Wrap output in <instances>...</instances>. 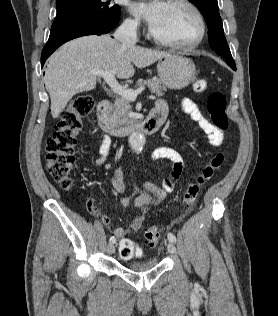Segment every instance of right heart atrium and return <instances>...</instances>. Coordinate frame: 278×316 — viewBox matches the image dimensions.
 <instances>
[{
	"label": "right heart atrium",
	"mask_w": 278,
	"mask_h": 316,
	"mask_svg": "<svg viewBox=\"0 0 278 316\" xmlns=\"http://www.w3.org/2000/svg\"><path fill=\"white\" fill-rule=\"evenodd\" d=\"M123 28L129 34H137L140 30V22L135 18H126L123 22Z\"/></svg>",
	"instance_id": "d8ad5b80"
}]
</instances>
